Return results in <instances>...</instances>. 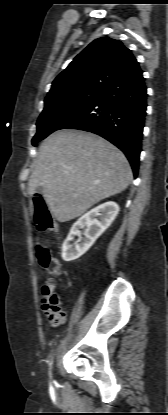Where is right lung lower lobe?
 I'll use <instances>...</instances> for the list:
<instances>
[{"instance_id": "obj_1", "label": "right lung lower lobe", "mask_w": 168, "mask_h": 415, "mask_svg": "<svg viewBox=\"0 0 168 415\" xmlns=\"http://www.w3.org/2000/svg\"><path fill=\"white\" fill-rule=\"evenodd\" d=\"M147 93L139 64L108 85L102 94L58 130L72 128L107 139L126 155L137 177Z\"/></svg>"}]
</instances>
